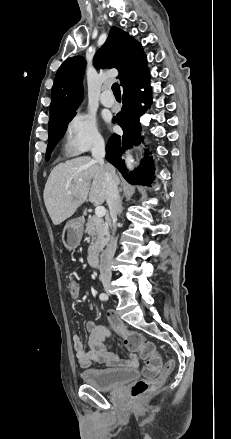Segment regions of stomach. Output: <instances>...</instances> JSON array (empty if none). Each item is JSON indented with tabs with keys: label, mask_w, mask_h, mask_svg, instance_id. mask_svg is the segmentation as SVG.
<instances>
[{
	"label": "stomach",
	"mask_w": 231,
	"mask_h": 439,
	"mask_svg": "<svg viewBox=\"0 0 231 439\" xmlns=\"http://www.w3.org/2000/svg\"><path fill=\"white\" fill-rule=\"evenodd\" d=\"M82 235V222L79 219L70 220L63 229L62 242L67 249L73 250L79 245Z\"/></svg>",
	"instance_id": "obj_1"
}]
</instances>
